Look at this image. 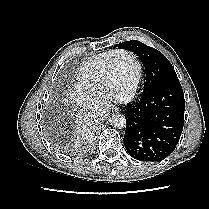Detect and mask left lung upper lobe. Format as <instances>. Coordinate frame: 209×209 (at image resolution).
Segmentation results:
<instances>
[{
	"label": "left lung upper lobe",
	"mask_w": 209,
	"mask_h": 209,
	"mask_svg": "<svg viewBox=\"0 0 209 209\" xmlns=\"http://www.w3.org/2000/svg\"><path fill=\"white\" fill-rule=\"evenodd\" d=\"M116 46L130 50L140 57L146 73L143 93L158 87L164 82L178 79L173 66L160 51L137 40L122 42Z\"/></svg>",
	"instance_id": "1"
}]
</instances>
